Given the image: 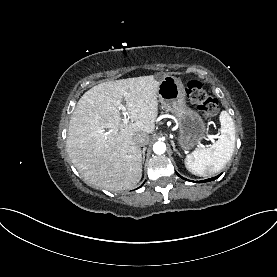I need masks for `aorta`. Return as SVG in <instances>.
Here are the masks:
<instances>
[{
	"label": "aorta",
	"instance_id": "obj_1",
	"mask_svg": "<svg viewBox=\"0 0 277 277\" xmlns=\"http://www.w3.org/2000/svg\"><path fill=\"white\" fill-rule=\"evenodd\" d=\"M153 151L155 154H158V155H161L163 153H165L166 151V144L164 142H156L154 145H153Z\"/></svg>",
	"mask_w": 277,
	"mask_h": 277
}]
</instances>
